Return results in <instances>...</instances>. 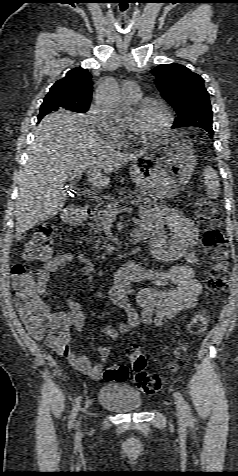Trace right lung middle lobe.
Returning <instances> with one entry per match:
<instances>
[{
	"label": "right lung middle lobe",
	"mask_w": 238,
	"mask_h": 476,
	"mask_svg": "<svg viewBox=\"0 0 238 476\" xmlns=\"http://www.w3.org/2000/svg\"><path fill=\"white\" fill-rule=\"evenodd\" d=\"M51 99H59V98L57 96H53ZM88 108H89V106L75 105V106H72L69 110L80 112V113H85L88 110ZM57 110L64 111V110L60 109V107H58V104H56L55 102L44 101L41 105L40 114L38 116V119L40 120L46 114H48L52 111H57Z\"/></svg>",
	"instance_id": "right-lung-middle-lobe-1"
}]
</instances>
